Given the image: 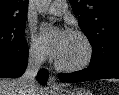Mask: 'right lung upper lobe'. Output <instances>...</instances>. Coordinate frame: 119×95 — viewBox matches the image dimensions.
<instances>
[{"label": "right lung upper lobe", "instance_id": "right-lung-upper-lobe-1", "mask_svg": "<svg viewBox=\"0 0 119 95\" xmlns=\"http://www.w3.org/2000/svg\"><path fill=\"white\" fill-rule=\"evenodd\" d=\"M28 0H0V25L26 21Z\"/></svg>", "mask_w": 119, "mask_h": 95}]
</instances>
